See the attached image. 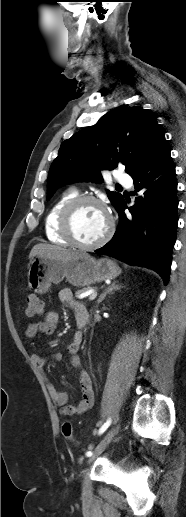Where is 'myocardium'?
Returning a JSON list of instances; mask_svg holds the SVG:
<instances>
[{
    "mask_svg": "<svg viewBox=\"0 0 186 517\" xmlns=\"http://www.w3.org/2000/svg\"><path fill=\"white\" fill-rule=\"evenodd\" d=\"M87 203L96 204L102 208L108 219V226L102 237L97 241L88 244L82 243L76 238L73 227V221L77 211L81 206ZM114 229V220L107 205L101 199L93 195H78L66 205L60 217L61 234L69 241L72 246L82 250H94L105 245L112 237Z\"/></svg>",
    "mask_w": 186,
    "mask_h": 517,
    "instance_id": "obj_1",
    "label": "myocardium"
}]
</instances>
